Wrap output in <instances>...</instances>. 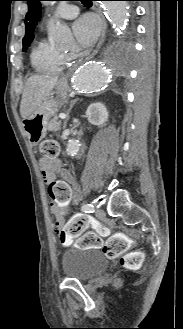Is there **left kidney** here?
<instances>
[{"instance_id": "5707ae66", "label": "left kidney", "mask_w": 183, "mask_h": 329, "mask_svg": "<svg viewBox=\"0 0 183 329\" xmlns=\"http://www.w3.org/2000/svg\"><path fill=\"white\" fill-rule=\"evenodd\" d=\"M86 118L93 125H104L108 119V112L105 105L101 102L91 104L86 111Z\"/></svg>"}]
</instances>
